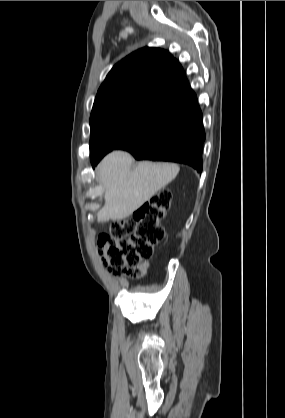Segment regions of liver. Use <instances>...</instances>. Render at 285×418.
<instances>
[{"mask_svg": "<svg viewBox=\"0 0 285 418\" xmlns=\"http://www.w3.org/2000/svg\"><path fill=\"white\" fill-rule=\"evenodd\" d=\"M173 163L142 161L133 167V157L125 151H113L98 166V176L105 188L104 206L97 213L98 222L122 220L139 209L178 174Z\"/></svg>", "mask_w": 285, "mask_h": 418, "instance_id": "liver-1", "label": "liver"}]
</instances>
